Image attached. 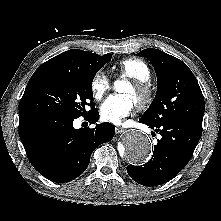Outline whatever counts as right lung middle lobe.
Listing matches in <instances>:
<instances>
[{
  "label": "right lung middle lobe",
  "mask_w": 221,
  "mask_h": 221,
  "mask_svg": "<svg viewBox=\"0 0 221 221\" xmlns=\"http://www.w3.org/2000/svg\"><path fill=\"white\" fill-rule=\"evenodd\" d=\"M110 59V54L99 56L84 71L36 70L27 84L19 111L51 112L74 119L85 113L87 105L92 107L88 113L93 112L92 81Z\"/></svg>",
  "instance_id": "1"
}]
</instances>
